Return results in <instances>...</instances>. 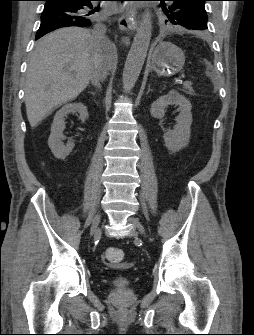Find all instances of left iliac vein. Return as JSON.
<instances>
[{
  "label": "left iliac vein",
  "mask_w": 254,
  "mask_h": 335,
  "mask_svg": "<svg viewBox=\"0 0 254 335\" xmlns=\"http://www.w3.org/2000/svg\"><path fill=\"white\" fill-rule=\"evenodd\" d=\"M129 221L137 228L141 235H145V230L142 224L134 217H130Z\"/></svg>",
  "instance_id": "4c4485c4"
}]
</instances>
